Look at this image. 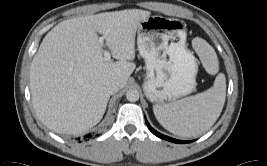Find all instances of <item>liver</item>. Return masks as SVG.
I'll return each mask as SVG.
<instances>
[{
	"label": "liver",
	"mask_w": 267,
	"mask_h": 166,
	"mask_svg": "<svg viewBox=\"0 0 267 166\" xmlns=\"http://www.w3.org/2000/svg\"><path fill=\"white\" fill-rule=\"evenodd\" d=\"M149 11L128 9L64 20L44 37L30 66L32 102L56 133L79 134L103 117L109 81L123 88L135 70V35ZM98 33L116 62L106 61Z\"/></svg>",
	"instance_id": "6515ba94"
}]
</instances>
